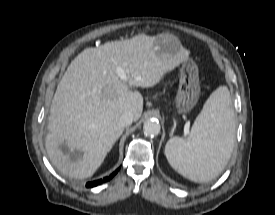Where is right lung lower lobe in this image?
Masks as SVG:
<instances>
[{"instance_id":"obj_1","label":"right lung lower lobe","mask_w":275,"mask_h":215,"mask_svg":"<svg viewBox=\"0 0 275 215\" xmlns=\"http://www.w3.org/2000/svg\"><path fill=\"white\" fill-rule=\"evenodd\" d=\"M119 169H117L115 172H113L109 177H106L104 178V180L100 179V180H96V181H93V182H88L86 184L87 187H95L97 185H100L102 184L103 182L105 181H108L110 180L117 172H118Z\"/></svg>"}]
</instances>
